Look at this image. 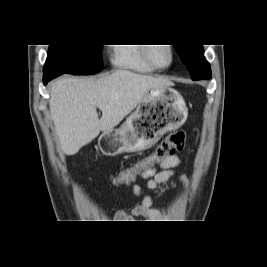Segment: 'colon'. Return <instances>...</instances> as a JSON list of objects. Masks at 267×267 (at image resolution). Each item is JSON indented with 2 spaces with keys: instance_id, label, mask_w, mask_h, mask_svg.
I'll use <instances>...</instances> for the list:
<instances>
[{
  "instance_id": "colon-1",
  "label": "colon",
  "mask_w": 267,
  "mask_h": 267,
  "mask_svg": "<svg viewBox=\"0 0 267 267\" xmlns=\"http://www.w3.org/2000/svg\"><path fill=\"white\" fill-rule=\"evenodd\" d=\"M185 144V131H173L158 144L149 156L137 162L130 169H121L115 175H111L110 179L115 182V185H128V182H133L134 178H138L139 172L153 167L157 162L175 152L182 151Z\"/></svg>"
}]
</instances>
